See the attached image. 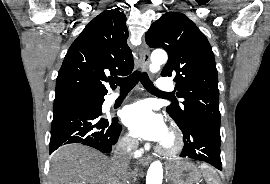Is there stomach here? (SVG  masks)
Wrapping results in <instances>:
<instances>
[{
  "instance_id": "0dacf381",
  "label": "stomach",
  "mask_w": 270,
  "mask_h": 184,
  "mask_svg": "<svg viewBox=\"0 0 270 184\" xmlns=\"http://www.w3.org/2000/svg\"><path fill=\"white\" fill-rule=\"evenodd\" d=\"M167 177L172 184H198L201 173L188 161H172L168 165Z\"/></svg>"
}]
</instances>
